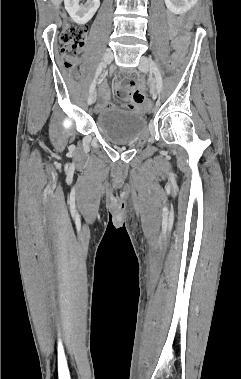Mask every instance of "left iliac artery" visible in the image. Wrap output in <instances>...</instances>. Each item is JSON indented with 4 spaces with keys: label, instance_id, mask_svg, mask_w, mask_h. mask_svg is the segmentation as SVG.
<instances>
[{
    "label": "left iliac artery",
    "instance_id": "1",
    "mask_svg": "<svg viewBox=\"0 0 241 379\" xmlns=\"http://www.w3.org/2000/svg\"><path fill=\"white\" fill-rule=\"evenodd\" d=\"M150 69L154 73L156 81H157V92L160 93L162 90V76L160 70L155 62H151Z\"/></svg>",
    "mask_w": 241,
    "mask_h": 379
}]
</instances>
